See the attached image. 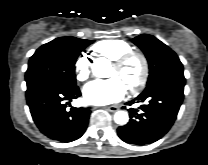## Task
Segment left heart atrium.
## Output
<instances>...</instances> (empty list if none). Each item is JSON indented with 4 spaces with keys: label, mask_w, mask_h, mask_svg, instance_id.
Masks as SVG:
<instances>
[{
    "label": "left heart atrium",
    "mask_w": 208,
    "mask_h": 165,
    "mask_svg": "<svg viewBox=\"0 0 208 165\" xmlns=\"http://www.w3.org/2000/svg\"><path fill=\"white\" fill-rule=\"evenodd\" d=\"M126 87L118 77L95 80L84 88V99L92 105H108L123 98Z\"/></svg>",
    "instance_id": "obj_1"
}]
</instances>
